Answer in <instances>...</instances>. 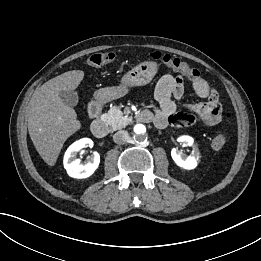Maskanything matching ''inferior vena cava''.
<instances>
[{
  "instance_id": "1",
  "label": "inferior vena cava",
  "mask_w": 261,
  "mask_h": 261,
  "mask_svg": "<svg viewBox=\"0 0 261 261\" xmlns=\"http://www.w3.org/2000/svg\"><path fill=\"white\" fill-rule=\"evenodd\" d=\"M128 138V132L125 130L117 131L113 135V141L117 144H124L127 141Z\"/></svg>"
}]
</instances>
